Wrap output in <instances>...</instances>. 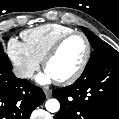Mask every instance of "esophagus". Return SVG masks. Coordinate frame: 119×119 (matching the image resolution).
Returning a JSON list of instances; mask_svg holds the SVG:
<instances>
[{
    "label": "esophagus",
    "instance_id": "1",
    "mask_svg": "<svg viewBox=\"0 0 119 119\" xmlns=\"http://www.w3.org/2000/svg\"><path fill=\"white\" fill-rule=\"evenodd\" d=\"M44 93H45L46 97L49 98V97H51L52 91L48 88H45Z\"/></svg>",
    "mask_w": 119,
    "mask_h": 119
}]
</instances>
